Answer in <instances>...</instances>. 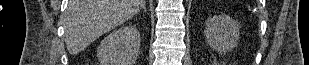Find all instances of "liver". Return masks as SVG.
I'll return each instance as SVG.
<instances>
[{"instance_id":"obj_1","label":"liver","mask_w":309,"mask_h":65,"mask_svg":"<svg viewBox=\"0 0 309 65\" xmlns=\"http://www.w3.org/2000/svg\"><path fill=\"white\" fill-rule=\"evenodd\" d=\"M144 6L145 0H69L64 19L68 52L74 55L83 51Z\"/></svg>"}]
</instances>
